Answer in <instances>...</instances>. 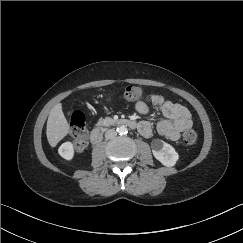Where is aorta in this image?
<instances>
[{"label": "aorta", "mask_w": 243, "mask_h": 243, "mask_svg": "<svg viewBox=\"0 0 243 243\" xmlns=\"http://www.w3.org/2000/svg\"><path fill=\"white\" fill-rule=\"evenodd\" d=\"M127 127L122 125V126H119L117 128V133L120 134V135H124V134H127Z\"/></svg>", "instance_id": "aorta-1"}]
</instances>
